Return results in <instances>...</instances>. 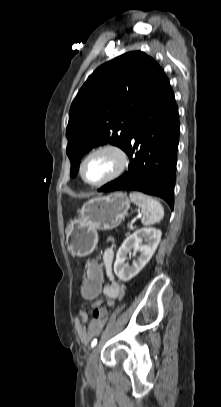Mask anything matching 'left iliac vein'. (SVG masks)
Wrapping results in <instances>:
<instances>
[{
    "label": "left iliac vein",
    "mask_w": 221,
    "mask_h": 407,
    "mask_svg": "<svg viewBox=\"0 0 221 407\" xmlns=\"http://www.w3.org/2000/svg\"><path fill=\"white\" fill-rule=\"evenodd\" d=\"M97 356H98V347H95L90 352L87 362L86 376L88 379L93 378L97 373Z\"/></svg>",
    "instance_id": "left-iliac-vein-1"
}]
</instances>
